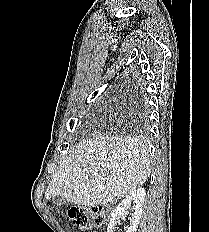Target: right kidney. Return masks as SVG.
Masks as SVG:
<instances>
[{"label": "right kidney", "instance_id": "obj_1", "mask_svg": "<svg viewBox=\"0 0 209 232\" xmlns=\"http://www.w3.org/2000/svg\"><path fill=\"white\" fill-rule=\"evenodd\" d=\"M145 196L146 191L144 188L135 189L133 192L127 195L112 211L107 232H115L117 221L120 217L127 213V209L131 203L134 205V212L132 213V218L130 219V225L125 228V232H136L141 219Z\"/></svg>", "mask_w": 209, "mask_h": 232}]
</instances>
